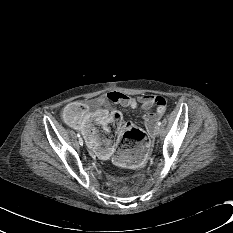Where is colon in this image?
<instances>
[{
    "mask_svg": "<svg viewBox=\"0 0 233 233\" xmlns=\"http://www.w3.org/2000/svg\"><path fill=\"white\" fill-rule=\"evenodd\" d=\"M84 112L85 108L81 103H71L65 110V120L70 125L80 123ZM107 119V115L102 116V121H106ZM120 131L122 132L119 142V147L121 150H131L136 144L145 143L148 140L145 132L142 129L133 126L131 123H122Z\"/></svg>",
    "mask_w": 233,
    "mask_h": 233,
    "instance_id": "colon-1",
    "label": "colon"
}]
</instances>
